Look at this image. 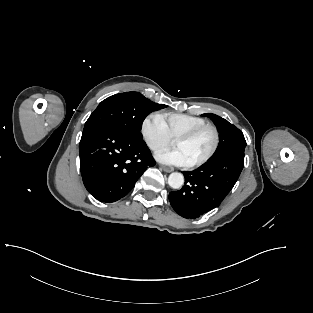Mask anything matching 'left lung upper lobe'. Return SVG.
Instances as JSON below:
<instances>
[{"label":"left lung upper lobe","mask_w":313,"mask_h":313,"mask_svg":"<svg viewBox=\"0 0 313 313\" xmlns=\"http://www.w3.org/2000/svg\"><path fill=\"white\" fill-rule=\"evenodd\" d=\"M213 120L219 132V145L212 158L233 150H245L246 141L243 133L227 120L211 113L203 114Z\"/></svg>","instance_id":"obj_1"}]
</instances>
